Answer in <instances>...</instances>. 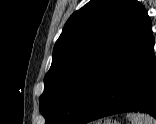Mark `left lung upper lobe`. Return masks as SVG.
I'll list each match as a JSON object with an SVG mask.
<instances>
[{
  "label": "left lung upper lobe",
  "instance_id": "left-lung-upper-lobe-1",
  "mask_svg": "<svg viewBox=\"0 0 156 124\" xmlns=\"http://www.w3.org/2000/svg\"><path fill=\"white\" fill-rule=\"evenodd\" d=\"M150 26L136 0H91L74 12L44 77L45 124H78L114 65Z\"/></svg>",
  "mask_w": 156,
  "mask_h": 124
}]
</instances>
